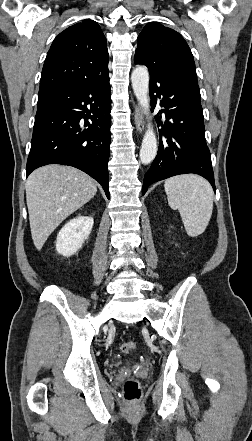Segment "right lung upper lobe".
I'll list each match as a JSON object with an SVG mask.
<instances>
[{"label":"right lung upper lobe","mask_w":252,"mask_h":441,"mask_svg":"<svg viewBox=\"0 0 252 441\" xmlns=\"http://www.w3.org/2000/svg\"><path fill=\"white\" fill-rule=\"evenodd\" d=\"M106 38L97 22L85 19L61 32L44 62L39 96L80 84L109 80Z\"/></svg>","instance_id":"right-lung-upper-lobe-1"}]
</instances>
